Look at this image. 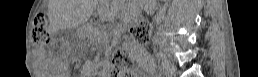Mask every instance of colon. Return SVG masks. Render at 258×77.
<instances>
[{
  "label": "colon",
  "instance_id": "obj_1",
  "mask_svg": "<svg viewBox=\"0 0 258 77\" xmlns=\"http://www.w3.org/2000/svg\"><path fill=\"white\" fill-rule=\"evenodd\" d=\"M150 27L147 23L140 22L134 25L130 30L131 44L145 43L149 40ZM32 40L35 44L45 45L50 41L47 19L43 14H38L33 22ZM132 66V60L127 47L118 49L112 59V67L121 71L129 69Z\"/></svg>",
  "mask_w": 258,
  "mask_h": 77
}]
</instances>
